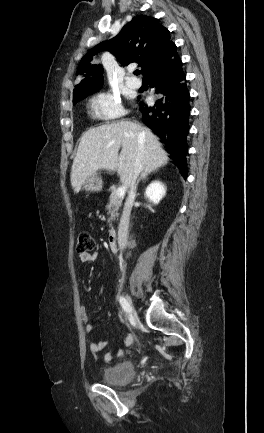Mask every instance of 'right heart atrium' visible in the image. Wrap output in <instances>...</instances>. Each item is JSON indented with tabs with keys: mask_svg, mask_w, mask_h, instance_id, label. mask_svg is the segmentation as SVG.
I'll return each mask as SVG.
<instances>
[{
	"mask_svg": "<svg viewBox=\"0 0 264 433\" xmlns=\"http://www.w3.org/2000/svg\"><path fill=\"white\" fill-rule=\"evenodd\" d=\"M90 111L94 118L103 121L118 119L124 114L119 98L111 92H99L90 99Z\"/></svg>",
	"mask_w": 264,
	"mask_h": 433,
	"instance_id": "obj_1",
	"label": "right heart atrium"
}]
</instances>
